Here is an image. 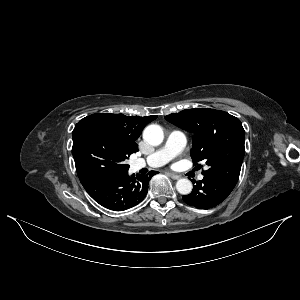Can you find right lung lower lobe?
Instances as JSON below:
<instances>
[{
    "label": "right lung lower lobe",
    "mask_w": 300,
    "mask_h": 300,
    "mask_svg": "<svg viewBox=\"0 0 300 300\" xmlns=\"http://www.w3.org/2000/svg\"><path fill=\"white\" fill-rule=\"evenodd\" d=\"M157 172L148 175L128 172L122 175H103L81 181L87 193L101 206L122 211L136 206L143 201L148 192V184Z\"/></svg>",
    "instance_id": "1"
}]
</instances>
